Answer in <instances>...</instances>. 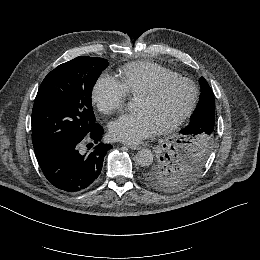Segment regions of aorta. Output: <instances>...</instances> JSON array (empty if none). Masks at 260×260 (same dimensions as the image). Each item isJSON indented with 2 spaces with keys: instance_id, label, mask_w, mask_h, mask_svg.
Listing matches in <instances>:
<instances>
[{
  "instance_id": "obj_1",
  "label": "aorta",
  "mask_w": 260,
  "mask_h": 260,
  "mask_svg": "<svg viewBox=\"0 0 260 260\" xmlns=\"http://www.w3.org/2000/svg\"><path fill=\"white\" fill-rule=\"evenodd\" d=\"M154 155L149 149H141L136 154L137 164L146 167L149 166L153 162Z\"/></svg>"
}]
</instances>
